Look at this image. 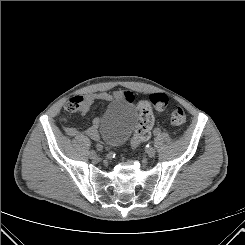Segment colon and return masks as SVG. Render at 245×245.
Returning a JSON list of instances; mask_svg holds the SVG:
<instances>
[{
  "label": "colon",
  "mask_w": 245,
  "mask_h": 245,
  "mask_svg": "<svg viewBox=\"0 0 245 245\" xmlns=\"http://www.w3.org/2000/svg\"><path fill=\"white\" fill-rule=\"evenodd\" d=\"M81 100L71 99L66 106L68 112H77L80 109ZM168 104V98L165 94H152L149 101H142L139 104V121L132 139V147L138 149L142 143L151 137V131L154 125V116L152 108L158 111L165 109ZM186 121V114L181 107H176L171 113L170 122L179 126Z\"/></svg>",
  "instance_id": "5ec220e1"
}]
</instances>
